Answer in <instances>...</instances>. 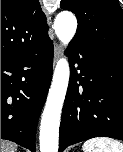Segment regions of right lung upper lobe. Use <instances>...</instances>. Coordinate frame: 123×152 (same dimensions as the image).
I'll return each instance as SVG.
<instances>
[{"label":"right lung upper lobe","mask_w":123,"mask_h":152,"mask_svg":"<svg viewBox=\"0 0 123 152\" xmlns=\"http://www.w3.org/2000/svg\"><path fill=\"white\" fill-rule=\"evenodd\" d=\"M47 36L39 0H1V58L24 54Z\"/></svg>","instance_id":"1"}]
</instances>
